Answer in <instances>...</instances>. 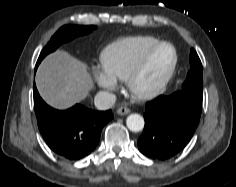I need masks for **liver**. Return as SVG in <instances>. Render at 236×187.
Wrapping results in <instances>:
<instances>
[{
    "mask_svg": "<svg viewBox=\"0 0 236 187\" xmlns=\"http://www.w3.org/2000/svg\"><path fill=\"white\" fill-rule=\"evenodd\" d=\"M36 86L47 104L56 109H67L87 97L93 81L83 62L57 50L40 64Z\"/></svg>",
    "mask_w": 236,
    "mask_h": 187,
    "instance_id": "liver-1",
    "label": "liver"
}]
</instances>
